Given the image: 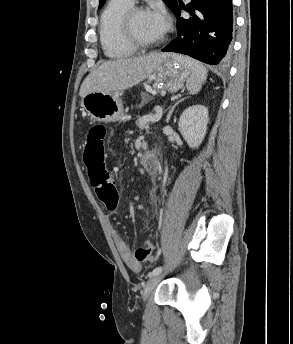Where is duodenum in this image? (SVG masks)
<instances>
[{
  "mask_svg": "<svg viewBox=\"0 0 293 344\" xmlns=\"http://www.w3.org/2000/svg\"><path fill=\"white\" fill-rule=\"evenodd\" d=\"M139 163L142 167H146L150 170H155L158 167L157 163L153 161V155L150 152H145L141 154L139 158Z\"/></svg>",
  "mask_w": 293,
  "mask_h": 344,
  "instance_id": "duodenum-1",
  "label": "duodenum"
}]
</instances>
